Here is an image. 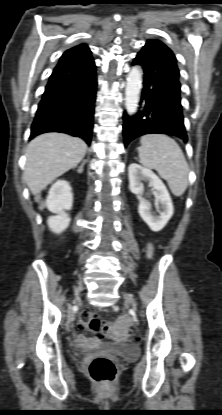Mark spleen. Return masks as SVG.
<instances>
[{
    "instance_id": "1",
    "label": "spleen",
    "mask_w": 222,
    "mask_h": 415,
    "mask_svg": "<svg viewBox=\"0 0 222 415\" xmlns=\"http://www.w3.org/2000/svg\"><path fill=\"white\" fill-rule=\"evenodd\" d=\"M140 162L155 169L167 181L175 196H182L189 181V166L177 142L163 134H148L141 138Z\"/></svg>"
}]
</instances>
